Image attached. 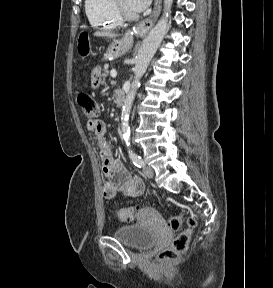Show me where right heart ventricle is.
<instances>
[{"label": "right heart ventricle", "instance_id": "1", "mask_svg": "<svg viewBox=\"0 0 273 288\" xmlns=\"http://www.w3.org/2000/svg\"><path fill=\"white\" fill-rule=\"evenodd\" d=\"M85 11L90 24L95 28L111 30L122 24L113 0H85Z\"/></svg>", "mask_w": 273, "mask_h": 288}]
</instances>
